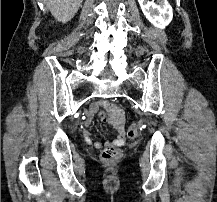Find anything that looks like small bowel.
<instances>
[{"label":"small bowel","mask_w":217,"mask_h":202,"mask_svg":"<svg viewBox=\"0 0 217 202\" xmlns=\"http://www.w3.org/2000/svg\"><path fill=\"white\" fill-rule=\"evenodd\" d=\"M102 108L105 109V112L107 113V118L109 120H112L113 128L116 132V139L113 141H107L105 143L106 146L110 145H122L125 142V128L123 125V116L122 113H117L118 109L121 108L120 104H113L112 101H107L106 104L102 105ZM98 104L93 103L90 105L88 112H87V120H90L94 114L97 112ZM83 137L89 145L93 146L96 149H99L103 146L100 142H94L92 140L91 134L88 132L83 133Z\"/></svg>","instance_id":"1"}]
</instances>
